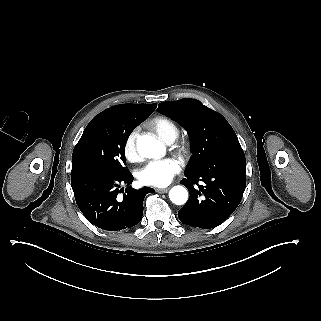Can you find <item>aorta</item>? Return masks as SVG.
Instances as JSON below:
<instances>
[{
  "mask_svg": "<svg viewBox=\"0 0 321 321\" xmlns=\"http://www.w3.org/2000/svg\"><path fill=\"white\" fill-rule=\"evenodd\" d=\"M138 152L147 158L160 157L165 153L163 144L148 135H143L137 139ZM169 198L176 205H183L188 199V192L183 186H174L169 192Z\"/></svg>",
  "mask_w": 321,
  "mask_h": 321,
  "instance_id": "obj_1",
  "label": "aorta"
}]
</instances>
